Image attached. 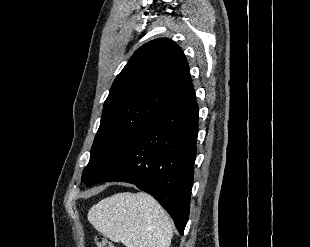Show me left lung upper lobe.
<instances>
[{
    "label": "left lung upper lobe",
    "instance_id": "5c2ea615",
    "mask_svg": "<svg viewBox=\"0 0 310 247\" xmlns=\"http://www.w3.org/2000/svg\"><path fill=\"white\" fill-rule=\"evenodd\" d=\"M192 88L187 59L174 41L159 38L137 49L104 103L82 181L87 186L97 183L144 131Z\"/></svg>",
    "mask_w": 310,
    "mask_h": 247
}]
</instances>
